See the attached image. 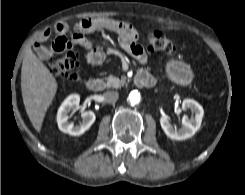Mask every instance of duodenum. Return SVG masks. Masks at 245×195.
I'll list each match as a JSON object with an SVG mask.
<instances>
[{"label":"duodenum","mask_w":245,"mask_h":195,"mask_svg":"<svg viewBox=\"0 0 245 195\" xmlns=\"http://www.w3.org/2000/svg\"><path fill=\"white\" fill-rule=\"evenodd\" d=\"M134 84L140 88H151L155 85V79L146 71H140L134 77ZM86 87L93 92L102 91L105 83L99 78H89Z\"/></svg>","instance_id":"duodenum-1"}]
</instances>
